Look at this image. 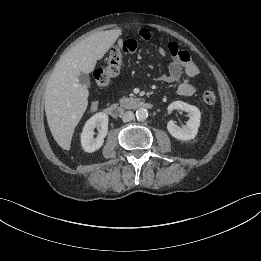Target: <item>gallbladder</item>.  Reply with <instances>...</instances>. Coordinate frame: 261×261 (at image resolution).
I'll return each instance as SVG.
<instances>
[{
	"instance_id": "obj_1",
	"label": "gallbladder",
	"mask_w": 261,
	"mask_h": 261,
	"mask_svg": "<svg viewBox=\"0 0 261 261\" xmlns=\"http://www.w3.org/2000/svg\"><path fill=\"white\" fill-rule=\"evenodd\" d=\"M79 83L82 86L88 87L90 85V78L88 74L82 73L79 77H78Z\"/></svg>"
}]
</instances>
